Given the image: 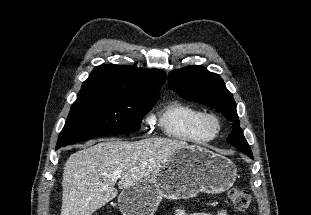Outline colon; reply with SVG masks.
<instances>
[{"mask_svg": "<svg viewBox=\"0 0 311 215\" xmlns=\"http://www.w3.org/2000/svg\"><path fill=\"white\" fill-rule=\"evenodd\" d=\"M228 197L234 208L242 213H247L250 209L251 195L250 193L239 187H233L228 192Z\"/></svg>", "mask_w": 311, "mask_h": 215, "instance_id": "colon-1", "label": "colon"}]
</instances>
